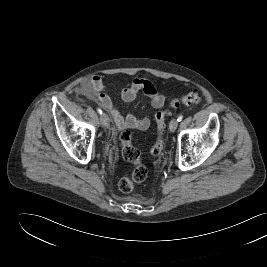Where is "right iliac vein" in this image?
Segmentation results:
<instances>
[{"instance_id": "right-iliac-vein-1", "label": "right iliac vein", "mask_w": 267, "mask_h": 267, "mask_svg": "<svg viewBox=\"0 0 267 267\" xmlns=\"http://www.w3.org/2000/svg\"><path fill=\"white\" fill-rule=\"evenodd\" d=\"M100 122L103 127H108L109 126V117L107 114L103 113L100 116Z\"/></svg>"}]
</instances>
